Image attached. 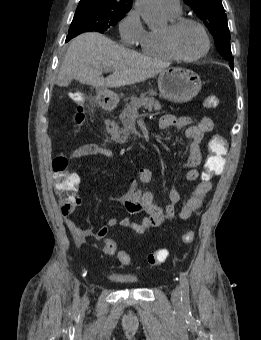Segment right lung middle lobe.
Instances as JSON below:
<instances>
[{"label":"right lung middle lobe","instance_id":"obj_1","mask_svg":"<svg viewBox=\"0 0 261 340\" xmlns=\"http://www.w3.org/2000/svg\"><path fill=\"white\" fill-rule=\"evenodd\" d=\"M129 10L99 5H78L68 33L98 31L115 26Z\"/></svg>","mask_w":261,"mask_h":340}]
</instances>
